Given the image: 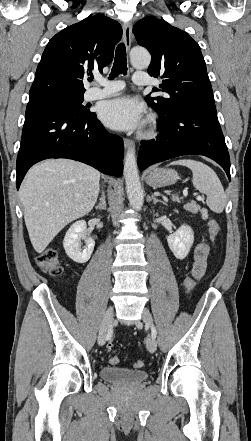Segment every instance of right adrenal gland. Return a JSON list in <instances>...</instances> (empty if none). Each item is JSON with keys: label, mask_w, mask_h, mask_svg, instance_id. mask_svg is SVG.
Wrapping results in <instances>:
<instances>
[{"label": "right adrenal gland", "mask_w": 251, "mask_h": 441, "mask_svg": "<svg viewBox=\"0 0 251 441\" xmlns=\"http://www.w3.org/2000/svg\"><path fill=\"white\" fill-rule=\"evenodd\" d=\"M107 204H106V197L104 192H102L101 198H100V202L97 206H95L96 210H106Z\"/></svg>", "instance_id": "obj_1"}]
</instances>
